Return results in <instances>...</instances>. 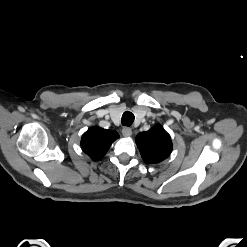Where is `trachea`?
<instances>
[{
	"instance_id": "3493384b",
	"label": "trachea",
	"mask_w": 247,
	"mask_h": 247,
	"mask_svg": "<svg viewBox=\"0 0 247 247\" xmlns=\"http://www.w3.org/2000/svg\"><path fill=\"white\" fill-rule=\"evenodd\" d=\"M121 122L124 126H130L134 122V114L129 111L124 112Z\"/></svg>"
}]
</instances>
